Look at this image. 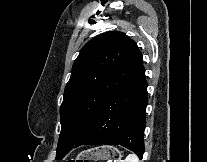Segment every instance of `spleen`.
Returning a JSON list of instances; mask_svg holds the SVG:
<instances>
[{"instance_id": "1", "label": "spleen", "mask_w": 207, "mask_h": 162, "mask_svg": "<svg viewBox=\"0 0 207 162\" xmlns=\"http://www.w3.org/2000/svg\"><path fill=\"white\" fill-rule=\"evenodd\" d=\"M119 162H140L139 158L135 154H129L125 158V160H121Z\"/></svg>"}]
</instances>
